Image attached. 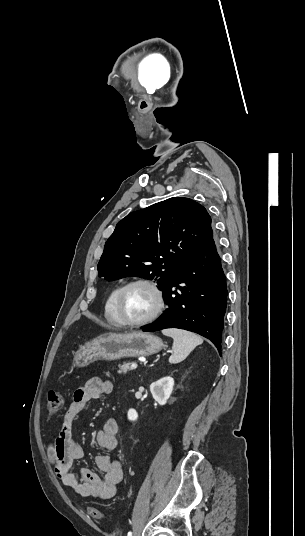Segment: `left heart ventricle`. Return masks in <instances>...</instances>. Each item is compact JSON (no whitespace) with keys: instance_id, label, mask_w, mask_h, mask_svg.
<instances>
[{"instance_id":"obj_1","label":"left heart ventricle","mask_w":305,"mask_h":536,"mask_svg":"<svg viewBox=\"0 0 305 536\" xmlns=\"http://www.w3.org/2000/svg\"><path fill=\"white\" fill-rule=\"evenodd\" d=\"M156 306L154 292L145 285H133L124 294L122 307L126 321H139L147 317Z\"/></svg>"}]
</instances>
